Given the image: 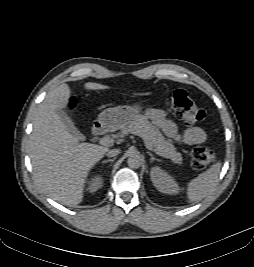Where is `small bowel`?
Here are the masks:
<instances>
[{"label": "small bowel", "instance_id": "obj_1", "mask_svg": "<svg viewBox=\"0 0 254 267\" xmlns=\"http://www.w3.org/2000/svg\"><path fill=\"white\" fill-rule=\"evenodd\" d=\"M146 115L155 126L159 127L168 138L176 143L193 146L202 144L206 140V133L202 128L190 127L184 132H180L177 125L159 109H150Z\"/></svg>", "mask_w": 254, "mask_h": 267}]
</instances>
